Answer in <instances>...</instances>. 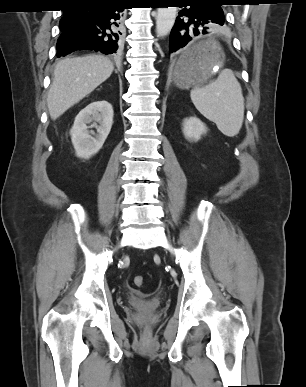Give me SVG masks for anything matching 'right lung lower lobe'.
<instances>
[{"label": "right lung lower lobe", "mask_w": 306, "mask_h": 387, "mask_svg": "<svg viewBox=\"0 0 306 387\" xmlns=\"http://www.w3.org/2000/svg\"><path fill=\"white\" fill-rule=\"evenodd\" d=\"M126 3L112 0L100 5H85L71 10L78 22L61 28L57 57L75 50L90 49L105 54L117 53L122 45V19Z\"/></svg>", "instance_id": "right-lung-lower-lobe-1"}]
</instances>
